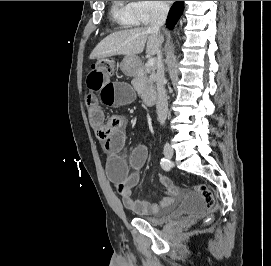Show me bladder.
Returning a JSON list of instances; mask_svg holds the SVG:
<instances>
[{
    "label": "bladder",
    "instance_id": "obj_1",
    "mask_svg": "<svg viewBox=\"0 0 271 266\" xmlns=\"http://www.w3.org/2000/svg\"><path fill=\"white\" fill-rule=\"evenodd\" d=\"M204 203L202 198L196 192L186 193L183 201L173 212L162 217L137 215V218L145 220L154 225H161L176 218H182L192 213L204 212Z\"/></svg>",
    "mask_w": 271,
    "mask_h": 266
}]
</instances>
